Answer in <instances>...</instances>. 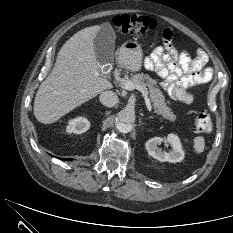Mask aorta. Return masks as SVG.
Here are the masks:
<instances>
[{
	"mask_svg": "<svg viewBox=\"0 0 233 233\" xmlns=\"http://www.w3.org/2000/svg\"><path fill=\"white\" fill-rule=\"evenodd\" d=\"M134 122L135 114L129 109H123L117 114L116 127L122 133L130 132Z\"/></svg>",
	"mask_w": 233,
	"mask_h": 233,
	"instance_id": "1",
	"label": "aorta"
}]
</instances>
